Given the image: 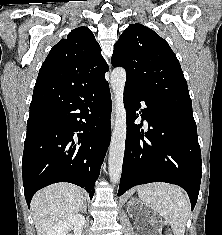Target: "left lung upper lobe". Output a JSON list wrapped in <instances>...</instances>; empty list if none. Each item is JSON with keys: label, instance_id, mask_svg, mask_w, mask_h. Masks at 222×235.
Here are the masks:
<instances>
[{"label": "left lung upper lobe", "instance_id": "1", "mask_svg": "<svg viewBox=\"0 0 222 235\" xmlns=\"http://www.w3.org/2000/svg\"><path fill=\"white\" fill-rule=\"evenodd\" d=\"M111 62L126 69V85L151 100L193 114L180 63L168 43L150 28L129 25L114 46Z\"/></svg>", "mask_w": 222, "mask_h": 235}]
</instances>
